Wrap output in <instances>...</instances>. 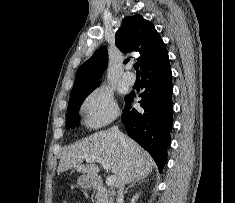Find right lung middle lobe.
I'll return each instance as SVG.
<instances>
[{"label": "right lung middle lobe", "instance_id": "dd1d6c3e", "mask_svg": "<svg viewBox=\"0 0 235 203\" xmlns=\"http://www.w3.org/2000/svg\"><path fill=\"white\" fill-rule=\"evenodd\" d=\"M99 84L87 87L78 92L72 93L68 109H67V119L66 127L67 129L74 128L79 124V109L85 98L98 86Z\"/></svg>", "mask_w": 235, "mask_h": 203}]
</instances>
